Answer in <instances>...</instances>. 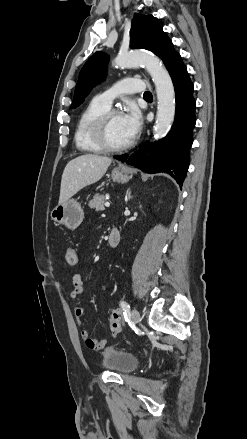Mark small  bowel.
Returning a JSON list of instances; mask_svg holds the SVG:
<instances>
[{
  "label": "small bowel",
  "mask_w": 247,
  "mask_h": 439,
  "mask_svg": "<svg viewBox=\"0 0 247 439\" xmlns=\"http://www.w3.org/2000/svg\"><path fill=\"white\" fill-rule=\"evenodd\" d=\"M72 283H73V289L70 293V296L72 299H76L84 293V282L81 275L78 273L74 274L72 277ZM83 315H84L83 306L77 305L74 308V317L79 326H82ZM80 336L86 347L91 350H95V351L101 350L106 345L105 340H95L91 338L88 331L85 329H82L80 331Z\"/></svg>",
  "instance_id": "small-bowel-1"
}]
</instances>
